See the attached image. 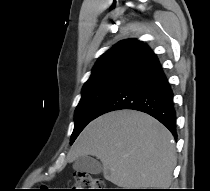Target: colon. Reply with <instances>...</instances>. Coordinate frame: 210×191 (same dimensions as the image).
I'll list each match as a JSON object with an SVG mask.
<instances>
[{
	"instance_id": "5ec220e1",
	"label": "colon",
	"mask_w": 210,
	"mask_h": 191,
	"mask_svg": "<svg viewBox=\"0 0 210 191\" xmlns=\"http://www.w3.org/2000/svg\"><path fill=\"white\" fill-rule=\"evenodd\" d=\"M74 191H105L100 178L88 173L79 172L75 175Z\"/></svg>"
}]
</instances>
